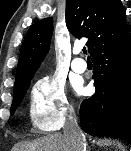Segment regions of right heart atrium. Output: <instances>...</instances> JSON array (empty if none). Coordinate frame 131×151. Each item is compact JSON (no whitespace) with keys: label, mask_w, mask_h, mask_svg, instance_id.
<instances>
[{"label":"right heart atrium","mask_w":131,"mask_h":151,"mask_svg":"<svg viewBox=\"0 0 131 151\" xmlns=\"http://www.w3.org/2000/svg\"><path fill=\"white\" fill-rule=\"evenodd\" d=\"M73 114L64 85L54 76H43L30 92L32 125L42 132L58 131Z\"/></svg>","instance_id":"d8ad5b80"}]
</instances>
